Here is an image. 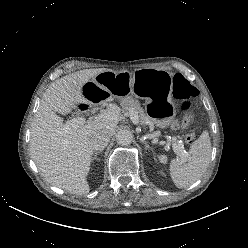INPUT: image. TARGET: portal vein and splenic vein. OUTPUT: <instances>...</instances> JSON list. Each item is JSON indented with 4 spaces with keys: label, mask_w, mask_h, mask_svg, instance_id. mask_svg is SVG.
Masks as SVG:
<instances>
[{
    "label": "portal vein and splenic vein",
    "mask_w": 248,
    "mask_h": 248,
    "mask_svg": "<svg viewBox=\"0 0 248 248\" xmlns=\"http://www.w3.org/2000/svg\"><path fill=\"white\" fill-rule=\"evenodd\" d=\"M130 114V119L134 124H137L139 122L138 114L135 112L133 109L129 112ZM86 122L85 118L79 117V118H74L72 120L67 121L64 126L61 128L62 133H68L72 129L76 128L78 125H83ZM173 150L176 153H181L184 156H187L188 153L183 150L181 147H179L176 143H172Z\"/></svg>",
    "instance_id": "18ae733b"
}]
</instances>
